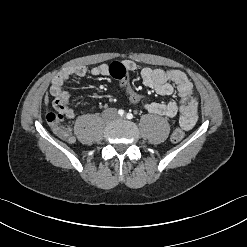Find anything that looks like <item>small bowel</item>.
<instances>
[{"label": "small bowel", "mask_w": 247, "mask_h": 247, "mask_svg": "<svg viewBox=\"0 0 247 247\" xmlns=\"http://www.w3.org/2000/svg\"><path fill=\"white\" fill-rule=\"evenodd\" d=\"M125 69L133 71L136 64L126 60L121 62ZM88 74L92 76H111V64H100L91 69L85 66L68 67L54 77L50 88V94L54 98L53 107L61 112L67 119H73L76 113L69 106L70 95L64 88L65 82L71 77L83 78ZM143 84L160 95H170L176 89L180 97V103L169 101L167 103H157L148 101L142 105L148 112L156 115L174 118L180 117V125L184 129H191L198 119V101L193 94V85L180 70H163L159 68L145 67L141 70Z\"/></svg>", "instance_id": "small-bowel-1"}]
</instances>
